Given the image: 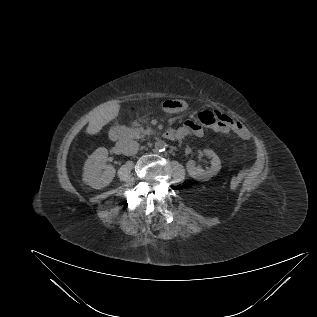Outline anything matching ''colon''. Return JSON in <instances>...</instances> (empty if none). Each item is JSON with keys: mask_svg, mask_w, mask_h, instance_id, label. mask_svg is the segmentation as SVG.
Returning <instances> with one entry per match:
<instances>
[{"mask_svg": "<svg viewBox=\"0 0 317 317\" xmlns=\"http://www.w3.org/2000/svg\"><path fill=\"white\" fill-rule=\"evenodd\" d=\"M199 120L206 126H216L219 123L220 117L216 111L204 110L198 115Z\"/></svg>", "mask_w": 317, "mask_h": 317, "instance_id": "obj_1", "label": "colon"}]
</instances>
